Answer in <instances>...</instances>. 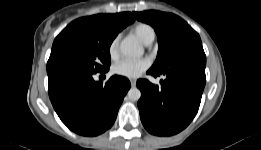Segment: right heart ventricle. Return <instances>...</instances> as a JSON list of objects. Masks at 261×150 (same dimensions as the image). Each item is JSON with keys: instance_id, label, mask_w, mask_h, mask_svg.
Here are the masks:
<instances>
[{"instance_id": "right-heart-ventricle-1", "label": "right heart ventricle", "mask_w": 261, "mask_h": 150, "mask_svg": "<svg viewBox=\"0 0 261 150\" xmlns=\"http://www.w3.org/2000/svg\"><path fill=\"white\" fill-rule=\"evenodd\" d=\"M132 33L135 34L144 44L152 42L155 38L154 28L145 22L136 23L132 29Z\"/></svg>"}]
</instances>
